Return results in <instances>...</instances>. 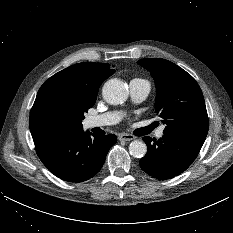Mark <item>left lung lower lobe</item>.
Returning <instances> with one entry per match:
<instances>
[{"instance_id": "obj_1", "label": "left lung lower lobe", "mask_w": 233, "mask_h": 233, "mask_svg": "<svg viewBox=\"0 0 233 233\" xmlns=\"http://www.w3.org/2000/svg\"><path fill=\"white\" fill-rule=\"evenodd\" d=\"M205 138L194 133H164L159 140L144 137L148 150L140 160V166L157 179L175 177L192 164Z\"/></svg>"}]
</instances>
